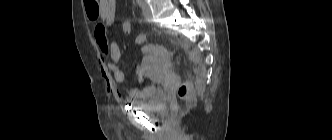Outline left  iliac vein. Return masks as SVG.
Masks as SVG:
<instances>
[{"mask_svg": "<svg viewBox=\"0 0 332 140\" xmlns=\"http://www.w3.org/2000/svg\"><path fill=\"white\" fill-rule=\"evenodd\" d=\"M141 1H142L141 7H142L143 16L147 21H151L152 13H151L150 6L147 4V2L145 0H141Z\"/></svg>", "mask_w": 332, "mask_h": 140, "instance_id": "1", "label": "left iliac vein"}]
</instances>
